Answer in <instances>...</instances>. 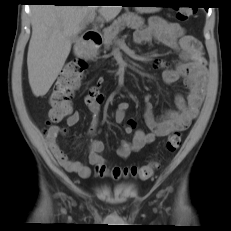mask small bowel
<instances>
[{
  "label": "small bowel",
  "instance_id": "obj_1",
  "mask_svg": "<svg viewBox=\"0 0 231 231\" xmlns=\"http://www.w3.org/2000/svg\"><path fill=\"white\" fill-rule=\"evenodd\" d=\"M133 39L136 44H148L156 41L177 51L180 61L175 68L166 69L163 72V80L167 84L182 80L188 92L186 97L182 95L175 97L176 110H168L159 118L154 116L152 107L148 103L145 113V123L149 129L148 132L136 129L135 123L129 120L124 127V131L126 134L133 135V137L131 141H123L117 149V155L121 158H127L131 153L140 151L158 137L167 136L174 131L185 130L197 117L206 88V65L201 44L193 36L187 35L181 25L155 17L149 21L146 28L137 30ZM102 81L100 78L96 85L91 86L89 93L85 97V104L92 114L88 130L90 138L88 144V164L71 160L66 155L57 140L61 132L59 126L49 127L46 135V142L59 164L66 171L76 173L83 178L90 175V166L105 164V159L102 156L104 150L103 142L92 139L98 128L99 112L103 101V95L100 92ZM128 108L129 104L125 101L117 104L114 112L116 123L122 124L125 121V114ZM79 121V112L71 111L66 122L68 126H75Z\"/></svg>",
  "mask_w": 231,
  "mask_h": 231
}]
</instances>
